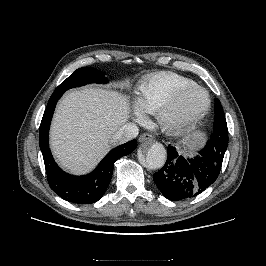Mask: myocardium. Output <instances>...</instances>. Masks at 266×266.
<instances>
[{
  "label": "myocardium",
  "mask_w": 266,
  "mask_h": 266,
  "mask_svg": "<svg viewBox=\"0 0 266 266\" xmlns=\"http://www.w3.org/2000/svg\"><path fill=\"white\" fill-rule=\"evenodd\" d=\"M191 89H197L204 93L206 98L205 107L193 116H177L175 115L176 107L181 98ZM211 107V97L207 89L194 83L176 90L172 95L165 101L162 107L157 112V120L162 128L169 131H183L186 130L200 120H202L209 112Z\"/></svg>",
  "instance_id": "myocardium-1"
}]
</instances>
